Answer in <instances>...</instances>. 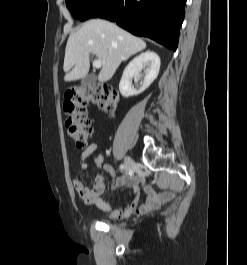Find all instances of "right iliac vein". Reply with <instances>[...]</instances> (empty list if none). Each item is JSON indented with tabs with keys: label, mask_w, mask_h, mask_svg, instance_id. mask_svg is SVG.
<instances>
[{
	"label": "right iliac vein",
	"mask_w": 247,
	"mask_h": 265,
	"mask_svg": "<svg viewBox=\"0 0 247 265\" xmlns=\"http://www.w3.org/2000/svg\"><path fill=\"white\" fill-rule=\"evenodd\" d=\"M126 173L129 174L134 166V161L130 157H126L124 160Z\"/></svg>",
	"instance_id": "1"
}]
</instances>
